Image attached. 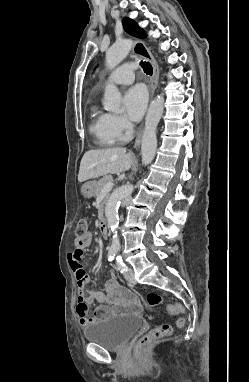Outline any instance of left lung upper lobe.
<instances>
[{"label":"left lung upper lobe","mask_w":249,"mask_h":382,"mask_svg":"<svg viewBox=\"0 0 249 382\" xmlns=\"http://www.w3.org/2000/svg\"><path fill=\"white\" fill-rule=\"evenodd\" d=\"M123 25L125 31L135 37L144 38L146 36V33L143 29H141L137 23L129 18L123 19Z\"/></svg>","instance_id":"obj_1"}]
</instances>
